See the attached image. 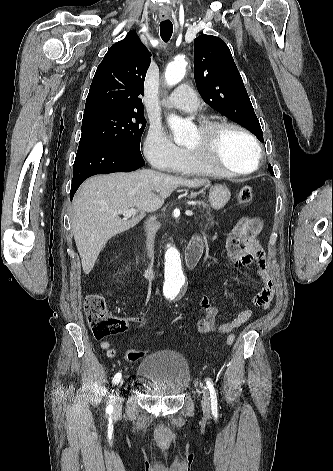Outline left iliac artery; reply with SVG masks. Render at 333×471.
Returning a JSON list of instances; mask_svg holds the SVG:
<instances>
[{
    "label": "left iliac artery",
    "instance_id": "obj_1",
    "mask_svg": "<svg viewBox=\"0 0 333 471\" xmlns=\"http://www.w3.org/2000/svg\"><path fill=\"white\" fill-rule=\"evenodd\" d=\"M207 388L210 392V400H211V410L214 416L218 415V404H217V395L216 390L214 388L213 383L210 380H206Z\"/></svg>",
    "mask_w": 333,
    "mask_h": 471
}]
</instances>
